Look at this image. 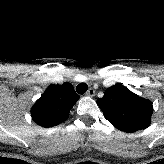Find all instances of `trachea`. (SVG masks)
<instances>
[{"label":"trachea","instance_id":"3493384b","mask_svg":"<svg viewBox=\"0 0 164 164\" xmlns=\"http://www.w3.org/2000/svg\"><path fill=\"white\" fill-rule=\"evenodd\" d=\"M88 89V85L86 83H80L76 86V91L79 94H84Z\"/></svg>","mask_w":164,"mask_h":164}]
</instances>
